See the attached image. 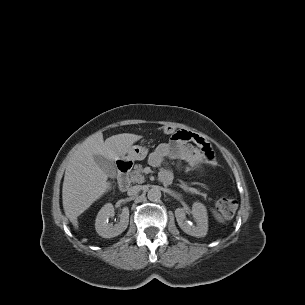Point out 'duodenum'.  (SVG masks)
Instances as JSON below:
<instances>
[{"mask_svg": "<svg viewBox=\"0 0 305 305\" xmlns=\"http://www.w3.org/2000/svg\"><path fill=\"white\" fill-rule=\"evenodd\" d=\"M118 169V187L121 191H126L130 185L129 173L131 170V164L127 161H119L117 163ZM164 184H169L167 179L161 180Z\"/></svg>", "mask_w": 305, "mask_h": 305, "instance_id": "obj_1", "label": "duodenum"}]
</instances>
